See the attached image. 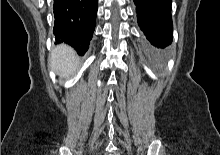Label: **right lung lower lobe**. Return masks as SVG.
Segmentation results:
<instances>
[{
	"instance_id": "98d812e1",
	"label": "right lung lower lobe",
	"mask_w": 220,
	"mask_h": 155,
	"mask_svg": "<svg viewBox=\"0 0 220 155\" xmlns=\"http://www.w3.org/2000/svg\"><path fill=\"white\" fill-rule=\"evenodd\" d=\"M97 3L98 0H54L56 41L67 43L84 55L95 29Z\"/></svg>"
}]
</instances>
